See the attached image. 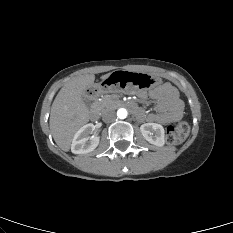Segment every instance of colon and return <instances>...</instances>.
I'll return each instance as SVG.
<instances>
[{"mask_svg":"<svg viewBox=\"0 0 233 233\" xmlns=\"http://www.w3.org/2000/svg\"><path fill=\"white\" fill-rule=\"evenodd\" d=\"M189 131V124L186 121H180L167 127L166 140L169 144L178 145L187 138Z\"/></svg>","mask_w":233,"mask_h":233,"instance_id":"obj_1","label":"colon"}]
</instances>
